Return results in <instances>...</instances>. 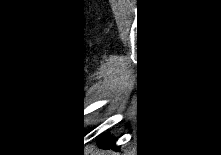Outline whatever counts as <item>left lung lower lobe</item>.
<instances>
[{
    "instance_id": "obj_1",
    "label": "left lung lower lobe",
    "mask_w": 221,
    "mask_h": 155,
    "mask_svg": "<svg viewBox=\"0 0 221 155\" xmlns=\"http://www.w3.org/2000/svg\"><path fill=\"white\" fill-rule=\"evenodd\" d=\"M101 146L103 147H113L114 146V141L112 140H103L101 143H100ZM116 149H118L116 147Z\"/></svg>"
}]
</instances>
